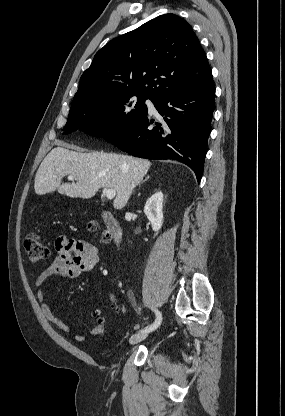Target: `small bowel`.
Here are the masks:
<instances>
[{"label": "small bowel", "mask_w": 285, "mask_h": 416, "mask_svg": "<svg viewBox=\"0 0 285 416\" xmlns=\"http://www.w3.org/2000/svg\"><path fill=\"white\" fill-rule=\"evenodd\" d=\"M57 252L53 261L40 273L34 284L38 287L37 300L44 317L62 332H71L70 327L58 318L45 299V282L57 277L63 280L74 279L83 273L90 272L99 260L98 250L92 244L84 240L60 237L55 243ZM96 324L87 333L74 335L76 341L82 342L87 337H102L106 333L105 318Z\"/></svg>", "instance_id": "obj_1"}]
</instances>
